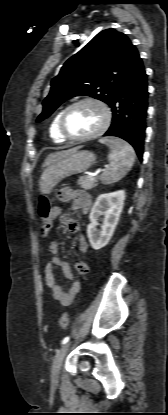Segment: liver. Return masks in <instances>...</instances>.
Instances as JSON below:
<instances>
[{
	"label": "liver",
	"mask_w": 168,
	"mask_h": 415,
	"mask_svg": "<svg viewBox=\"0 0 168 415\" xmlns=\"http://www.w3.org/2000/svg\"><path fill=\"white\" fill-rule=\"evenodd\" d=\"M71 150V149H70ZM70 150H66V151H59V152H55V153H51L49 154L44 163L42 164V167H49L52 163H54L57 159L63 157L64 155H66Z\"/></svg>",
	"instance_id": "liver-1"
}]
</instances>
